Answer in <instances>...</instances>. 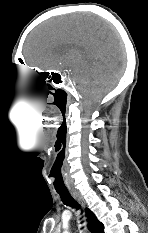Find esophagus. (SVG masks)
I'll list each match as a JSON object with an SVG mask.
<instances>
[{
    "instance_id": "34e87169",
    "label": "esophagus",
    "mask_w": 148,
    "mask_h": 233,
    "mask_svg": "<svg viewBox=\"0 0 148 233\" xmlns=\"http://www.w3.org/2000/svg\"><path fill=\"white\" fill-rule=\"evenodd\" d=\"M72 196L82 204V200L81 197L79 196V194L76 191H71Z\"/></svg>"
}]
</instances>
